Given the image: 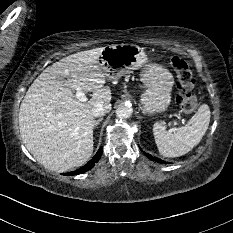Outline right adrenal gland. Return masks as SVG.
Segmentation results:
<instances>
[{
  "instance_id": "right-adrenal-gland-1",
  "label": "right adrenal gland",
  "mask_w": 233,
  "mask_h": 233,
  "mask_svg": "<svg viewBox=\"0 0 233 233\" xmlns=\"http://www.w3.org/2000/svg\"><path fill=\"white\" fill-rule=\"evenodd\" d=\"M103 118H99L97 120H95V123H94V126L96 127L97 125H99L100 121L102 120Z\"/></svg>"
}]
</instances>
